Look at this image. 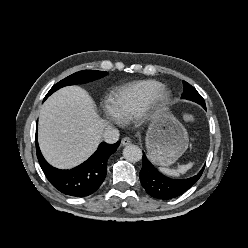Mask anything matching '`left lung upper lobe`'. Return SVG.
<instances>
[{
    "mask_svg": "<svg viewBox=\"0 0 248 248\" xmlns=\"http://www.w3.org/2000/svg\"><path fill=\"white\" fill-rule=\"evenodd\" d=\"M183 87H184V92L181 96L183 99L191 100L200 104L201 106H205L204 99L193 86L183 81Z\"/></svg>",
    "mask_w": 248,
    "mask_h": 248,
    "instance_id": "obj_1",
    "label": "left lung upper lobe"
}]
</instances>
